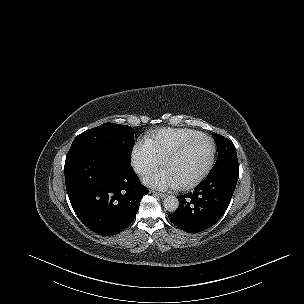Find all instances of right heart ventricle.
Returning a JSON list of instances; mask_svg holds the SVG:
<instances>
[{"label": "right heart ventricle", "mask_w": 304, "mask_h": 304, "mask_svg": "<svg viewBox=\"0 0 304 304\" xmlns=\"http://www.w3.org/2000/svg\"><path fill=\"white\" fill-rule=\"evenodd\" d=\"M199 135L191 128H161L150 134L147 146L159 160H164L178 146Z\"/></svg>", "instance_id": "1"}]
</instances>
